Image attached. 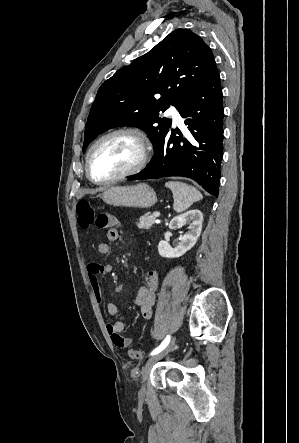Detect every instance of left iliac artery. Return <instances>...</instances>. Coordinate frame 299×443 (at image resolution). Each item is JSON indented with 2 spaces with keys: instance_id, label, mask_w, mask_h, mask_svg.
I'll list each match as a JSON object with an SVG mask.
<instances>
[{
  "instance_id": "1",
  "label": "left iliac artery",
  "mask_w": 299,
  "mask_h": 443,
  "mask_svg": "<svg viewBox=\"0 0 299 443\" xmlns=\"http://www.w3.org/2000/svg\"><path fill=\"white\" fill-rule=\"evenodd\" d=\"M169 342H170V335H168V336L163 340V342H162L157 348H155V349L150 353V355H155V354L159 353L160 351H162L164 348L167 347V345L169 344Z\"/></svg>"
}]
</instances>
